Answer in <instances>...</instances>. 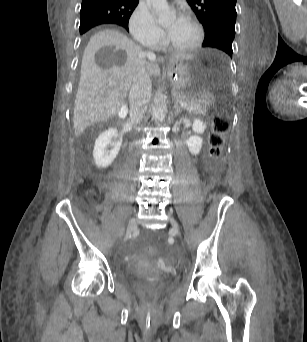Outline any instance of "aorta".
Wrapping results in <instances>:
<instances>
[{
    "label": "aorta",
    "mask_w": 307,
    "mask_h": 342,
    "mask_svg": "<svg viewBox=\"0 0 307 342\" xmlns=\"http://www.w3.org/2000/svg\"><path fill=\"white\" fill-rule=\"evenodd\" d=\"M152 6V12L157 16L158 24L168 26L176 20V12L170 8L167 0H148ZM167 114V102L164 94H156L153 100V120L155 122H164Z\"/></svg>",
    "instance_id": "762f6f07"
}]
</instances>
